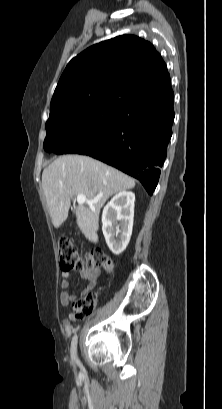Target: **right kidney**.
I'll return each instance as SVG.
<instances>
[{
    "label": "right kidney",
    "instance_id": "ca27d5eb",
    "mask_svg": "<svg viewBox=\"0 0 222 409\" xmlns=\"http://www.w3.org/2000/svg\"><path fill=\"white\" fill-rule=\"evenodd\" d=\"M135 194L122 191L104 207L102 231L113 254H121L127 247L133 228Z\"/></svg>",
    "mask_w": 222,
    "mask_h": 409
}]
</instances>
